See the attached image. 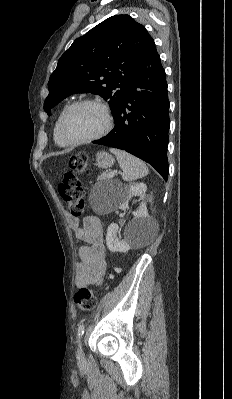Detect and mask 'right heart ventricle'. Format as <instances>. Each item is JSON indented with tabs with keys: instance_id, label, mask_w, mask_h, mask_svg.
<instances>
[{
	"instance_id": "right-heart-ventricle-1",
	"label": "right heart ventricle",
	"mask_w": 232,
	"mask_h": 399,
	"mask_svg": "<svg viewBox=\"0 0 232 399\" xmlns=\"http://www.w3.org/2000/svg\"><path fill=\"white\" fill-rule=\"evenodd\" d=\"M68 106H69V104H65V105H63V106L60 108V110H59V112H58V114H57V116H56V118H55L54 125H53V138H54V142H55V144H56L58 147H60V148H62V149H70V148H72V147L74 146V145H72L71 143H69L68 141H66V140L64 139V137L62 136L61 132H60V120H61V117H62L64 111L66 110V108H67Z\"/></svg>"
}]
</instances>
